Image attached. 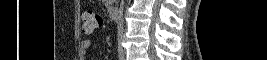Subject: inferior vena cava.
Instances as JSON below:
<instances>
[{"label": "inferior vena cava", "instance_id": "inferior-vena-cava-1", "mask_svg": "<svg viewBox=\"0 0 267 60\" xmlns=\"http://www.w3.org/2000/svg\"><path fill=\"white\" fill-rule=\"evenodd\" d=\"M118 34H123V30H124V23H123V4L120 6L119 9V13H118ZM120 52L122 53L123 51L120 50Z\"/></svg>", "mask_w": 267, "mask_h": 60}]
</instances>
